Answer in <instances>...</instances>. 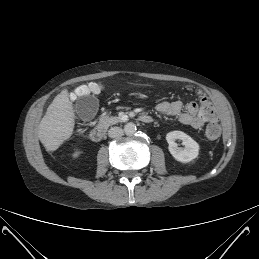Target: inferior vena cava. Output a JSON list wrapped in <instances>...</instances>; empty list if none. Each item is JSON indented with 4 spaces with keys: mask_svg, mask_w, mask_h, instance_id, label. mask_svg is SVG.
Segmentation results:
<instances>
[{
    "mask_svg": "<svg viewBox=\"0 0 259 259\" xmlns=\"http://www.w3.org/2000/svg\"><path fill=\"white\" fill-rule=\"evenodd\" d=\"M123 135V130L120 127H111L108 131V136L111 138L121 137Z\"/></svg>",
    "mask_w": 259,
    "mask_h": 259,
    "instance_id": "1",
    "label": "inferior vena cava"
}]
</instances>
